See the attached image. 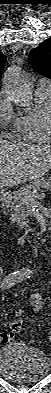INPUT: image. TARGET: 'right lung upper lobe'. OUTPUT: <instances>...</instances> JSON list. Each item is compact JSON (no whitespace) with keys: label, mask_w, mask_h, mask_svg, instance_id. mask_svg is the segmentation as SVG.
<instances>
[{"label":"right lung upper lobe","mask_w":51,"mask_h":393,"mask_svg":"<svg viewBox=\"0 0 51 393\" xmlns=\"http://www.w3.org/2000/svg\"><path fill=\"white\" fill-rule=\"evenodd\" d=\"M5 62H6V57L0 51V77H1L2 71L4 69Z\"/></svg>","instance_id":"cb5924a9"}]
</instances>
